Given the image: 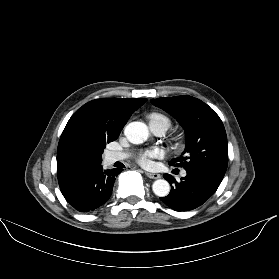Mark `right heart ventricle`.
<instances>
[{"label": "right heart ventricle", "instance_id": "1", "mask_svg": "<svg viewBox=\"0 0 279 279\" xmlns=\"http://www.w3.org/2000/svg\"><path fill=\"white\" fill-rule=\"evenodd\" d=\"M150 124H158L164 126L166 129L169 128L171 124V120L168 116L159 113V112H152L148 116Z\"/></svg>", "mask_w": 279, "mask_h": 279}]
</instances>
